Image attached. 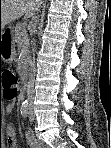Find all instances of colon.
<instances>
[{
  "instance_id": "colon-1",
  "label": "colon",
  "mask_w": 111,
  "mask_h": 148,
  "mask_svg": "<svg viewBox=\"0 0 111 148\" xmlns=\"http://www.w3.org/2000/svg\"><path fill=\"white\" fill-rule=\"evenodd\" d=\"M0 84L3 87V94L7 100L14 101L18 95V77L10 70L0 72Z\"/></svg>"
}]
</instances>
